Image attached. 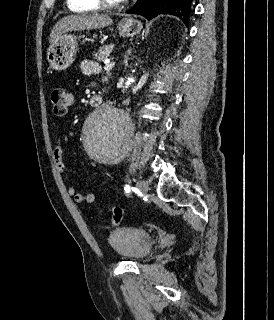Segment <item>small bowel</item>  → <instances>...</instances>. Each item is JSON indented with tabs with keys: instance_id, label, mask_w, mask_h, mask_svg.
Wrapping results in <instances>:
<instances>
[{
	"instance_id": "obj_1",
	"label": "small bowel",
	"mask_w": 274,
	"mask_h": 320,
	"mask_svg": "<svg viewBox=\"0 0 274 320\" xmlns=\"http://www.w3.org/2000/svg\"><path fill=\"white\" fill-rule=\"evenodd\" d=\"M82 71L87 75L95 74L99 72V66L96 63L90 61H84L82 64ZM63 152H64V144L63 139L61 136H58L54 145L53 149V160L56 169L60 173H65L66 165L63 159ZM67 192L70 196H72L76 203L83 204V203H92L97 198L96 192H89V193H81L77 190L75 185H70L67 188Z\"/></svg>"
}]
</instances>
